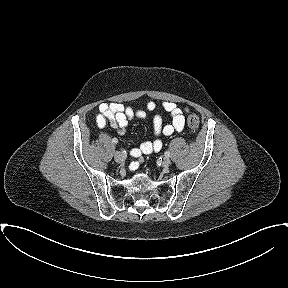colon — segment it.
Listing matches in <instances>:
<instances>
[{
    "label": "colon",
    "instance_id": "5ec220e1",
    "mask_svg": "<svg viewBox=\"0 0 288 288\" xmlns=\"http://www.w3.org/2000/svg\"><path fill=\"white\" fill-rule=\"evenodd\" d=\"M187 125L191 133H196L199 129L200 120L196 115H190L187 120Z\"/></svg>",
    "mask_w": 288,
    "mask_h": 288
}]
</instances>
